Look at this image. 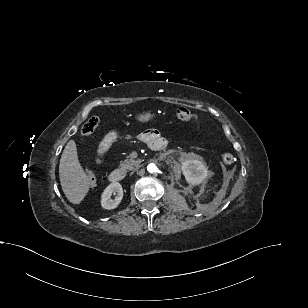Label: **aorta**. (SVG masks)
Instances as JSON below:
<instances>
[{"label": "aorta", "instance_id": "obj_1", "mask_svg": "<svg viewBox=\"0 0 308 308\" xmlns=\"http://www.w3.org/2000/svg\"><path fill=\"white\" fill-rule=\"evenodd\" d=\"M147 170H148V172H150V173H154V172L157 171V167H156V165H155L154 163H151V164H149V165L147 166Z\"/></svg>", "mask_w": 308, "mask_h": 308}]
</instances>
